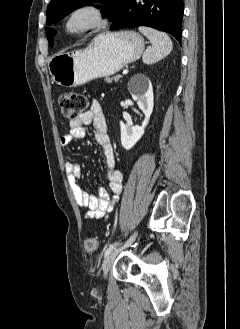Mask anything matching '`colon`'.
<instances>
[{"label":"colon","mask_w":240,"mask_h":329,"mask_svg":"<svg viewBox=\"0 0 240 329\" xmlns=\"http://www.w3.org/2000/svg\"><path fill=\"white\" fill-rule=\"evenodd\" d=\"M58 104L61 108L63 117L68 120L75 119L79 113L88 106V99L81 94L64 91L58 96ZM85 249L93 253L98 249V239L96 236H88L84 241Z\"/></svg>","instance_id":"1"}]
</instances>
